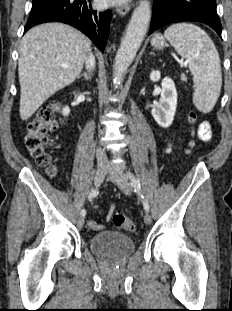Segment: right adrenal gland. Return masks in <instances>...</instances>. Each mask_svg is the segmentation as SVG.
<instances>
[{"mask_svg": "<svg viewBox=\"0 0 232 311\" xmlns=\"http://www.w3.org/2000/svg\"><path fill=\"white\" fill-rule=\"evenodd\" d=\"M91 76H92V74H88V73L84 72L81 75H79V78L84 77V79L88 81L91 79Z\"/></svg>", "mask_w": 232, "mask_h": 311, "instance_id": "1", "label": "right adrenal gland"}]
</instances>
